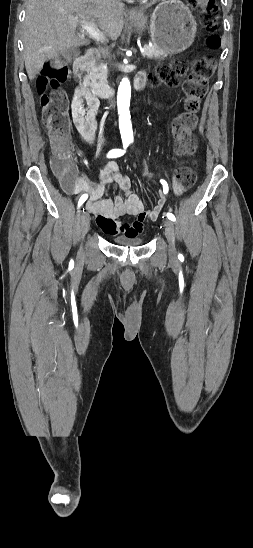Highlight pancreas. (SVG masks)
Here are the masks:
<instances>
[{"mask_svg":"<svg viewBox=\"0 0 253 548\" xmlns=\"http://www.w3.org/2000/svg\"><path fill=\"white\" fill-rule=\"evenodd\" d=\"M149 50L147 51V54L144 56H147V58L152 59H164L168 56V52H166L163 49H160L159 47L153 45L148 46ZM86 71L88 73L87 80H90V85L95 88L99 89V87L103 86L107 82V64H105L101 60H94L90 62L86 68Z\"/></svg>","mask_w":253,"mask_h":548,"instance_id":"1","label":"pancreas"}]
</instances>
